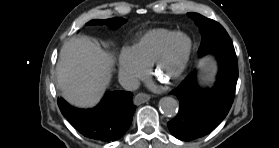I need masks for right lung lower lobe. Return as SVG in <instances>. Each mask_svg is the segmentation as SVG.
<instances>
[{"instance_id":"1","label":"right lung lower lobe","mask_w":279,"mask_h":148,"mask_svg":"<svg viewBox=\"0 0 279 148\" xmlns=\"http://www.w3.org/2000/svg\"><path fill=\"white\" fill-rule=\"evenodd\" d=\"M63 116L85 137L110 142L121 138L132 123L136 106L133 94L126 91H109L100 105L93 109H77L62 98L58 99Z\"/></svg>"}]
</instances>
